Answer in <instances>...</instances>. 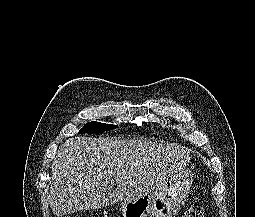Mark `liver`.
<instances>
[{"label":"liver","mask_w":255,"mask_h":217,"mask_svg":"<svg viewBox=\"0 0 255 217\" xmlns=\"http://www.w3.org/2000/svg\"><path fill=\"white\" fill-rule=\"evenodd\" d=\"M189 160L188 149L172 145L72 137L59 147L52 163L51 210L62 217L130 202L162 186ZM112 177L116 187L109 184Z\"/></svg>","instance_id":"6515ba94"}]
</instances>
